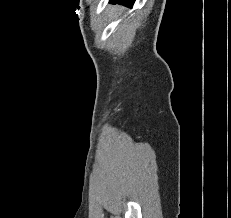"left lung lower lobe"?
I'll return each mask as SVG.
<instances>
[{
	"instance_id": "0a47b994",
	"label": "left lung lower lobe",
	"mask_w": 231,
	"mask_h": 218,
	"mask_svg": "<svg viewBox=\"0 0 231 218\" xmlns=\"http://www.w3.org/2000/svg\"><path fill=\"white\" fill-rule=\"evenodd\" d=\"M134 1L135 0H110V2H121L129 6H132L134 4Z\"/></svg>"
}]
</instances>
